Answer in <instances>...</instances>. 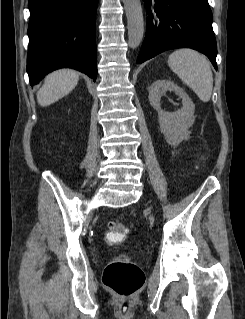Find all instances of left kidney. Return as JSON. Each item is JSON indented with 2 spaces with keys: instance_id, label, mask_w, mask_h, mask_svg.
<instances>
[{
  "instance_id": "1",
  "label": "left kidney",
  "mask_w": 245,
  "mask_h": 319,
  "mask_svg": "<svg viewBox=\"0 0 245 319\" xmlns=\"http://www.w3.org/2000/svg\"><path fill=\"white\" fill-rule=\"evenodd\" d=\"M173 91L182 99V108L176 112H166L161 109L160 99L166 91ZM149 102L158 112L160 130L167 142L177 146L189 138V128L195 121V106L186 92L171 80H157L149 87Z\"/></svg>"
}]
</instances>
